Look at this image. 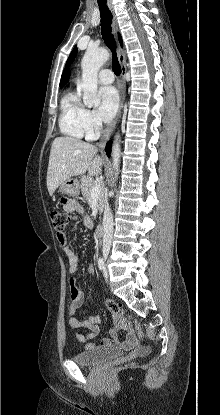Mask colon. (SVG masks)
Wrapping results in <instances>:
<instances>
[{"label":"colon","instance_id":"colon-1","mask_svg":"<svg viewBox=\"0 0 220 415\" xmlns=\"http://www.w3.org/2000/svg\"><path fill=\"white\" fill-rule=\"evenodd\" d=\"M70 219V215L66 211H53L51 213V221L53 227L57 231V234H62L64 228L67 226ZM105 307L113 313L116 317H126L135 326L139 335H142V330L138 321L129 313H127L122 307L113 302L112 300H105Z\"/></svg>","mask_w":220,"mask_h":415}]
</instances>
